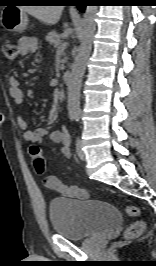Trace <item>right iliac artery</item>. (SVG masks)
<instances>
[{
    "label": "right iliac artery",
    "mask_w": 156,
    "mask_h": 266,
    "mask_svg": "<svg viewBox=\"0 0 156 266\" xmlns=\"http://www.w3.org/2000/svg\"><path fill=\"white\" fill-rule=\"evenodd\" d=\"M70 119H71V120H74V119H75V116H71Z\"/></svg>",
    "instance_id": "1"
}]
</instances>
